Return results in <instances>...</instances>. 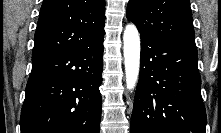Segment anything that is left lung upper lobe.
Listing matches in <instances>:
<instances>
[{"mask_svg":"<svg viewBox=\"0 0 221 133\" xmlns=\"http://www.w3.org/2000/svg\"><path fill=\"white\" fill-rule=\"evenodd\" d=\"M127 18L141 35H153L195 46L189 0H129Z\"/></svg>","mask_w":221,"mask_h":133,"instance_id":"1","label":"left lung upper lobe"}]
</instances>
